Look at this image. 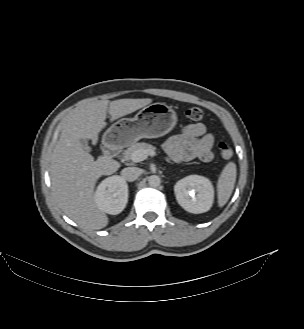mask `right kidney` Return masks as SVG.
<instances>
[{
    "label": "right kidney",
    "mask_w": 304,
    "mask_h": 329,
    "mask_svg": "<svg viewBox=\"0 0 304 329\" xmlns=\"http://www.w3.org/2000/svg\"><path fill=\"white\" fill-rule=\"evenodd\" d=\"M97 207L108 214L116 215L123 211L128 202V185L117 175L101 181L95 192Z\"/></svg>",
    "instance_id": "ca27d5eb"
}]
</instances>
